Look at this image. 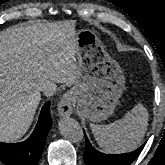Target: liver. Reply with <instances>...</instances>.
Masks as SVG:
<instances>
[{
  "label": "liver",
  "mask_w": 165,
  "mask_h": 165,
  "mask_svg": "<svg viewBox=\"0 0 165 165\" xmlns=\"http://www.w3.org/2000/svg\"><path fill=\"white\" fill-rule=\"evenodd\" d=\"M75 21L12 28L0 33V141L21 138L32 124L46 81L72 85L81 76L73 56ZM69 40L70 55L56 60L54 43Z\"/></svg>",
  "instance_id": "liver-1"
}]
</instances>
